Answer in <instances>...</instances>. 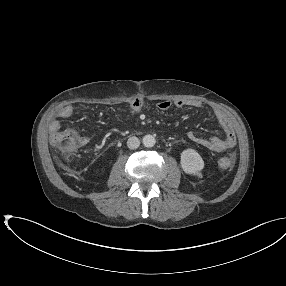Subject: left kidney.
<instances>
[{"label":"left kidney","instance_id":"1","mask_svg":"<svg viewBox=\"0 0 286 286\" xmlns=\"http://www.w3.org/2000/svg\"><path fill=\"white\" fill-rule=\"evenodd\" d=\"M181 167L187 174L202 176L200 171L204 168V161L194 149H186L181 153Z\"/></svg>","mask_w":286,"mask_h":286}]
</instances>
